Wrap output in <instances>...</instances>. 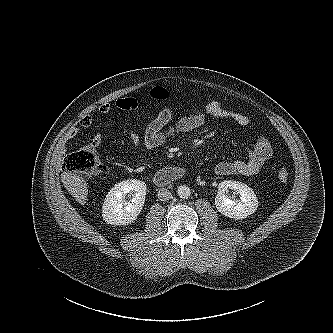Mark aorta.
<instances>
[{"label": "aorta", "instance_id": "762f6f07", "mask_svg": "<svg viewBox=\"0 0 333 333\" xmlns=\"http://www.w3.org/2000/svg\"><path fill=\"white\" fill-rule=\"evenodd\" d=\"M177 194L182 199H187L191 195L190 188L186 185H181L178 187Z\"/></svg>", "mask_w": 333, "mask_h": 333}]
</instances>
